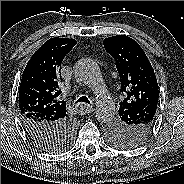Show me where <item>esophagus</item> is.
Instances as JSON below:
<instances>
[{"mask_svg":"<svg viewBox=\"0 0 184 184\" xmlns=\"http://www.w3.org/2000/svg\"><path fill=\"white\" fill-rule=\"evenodd\" d=\"M79 112L81 113H91L94 111V108L87 104H79L77 105Z\"/></svg>","mask_w":184,"mask_h":184,"instance_id":"34e87169","label":"esophagus"}]
</instances>
